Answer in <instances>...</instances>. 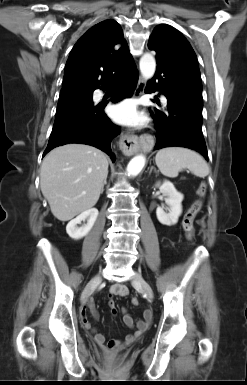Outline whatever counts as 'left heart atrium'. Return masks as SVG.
<instances>
[{"label": "left heart atrium", "mask_w": 247, "mask_h": 385, "mask_svg": "<svg viewBox=\"0 0 247 385\" xmlns=\"http://www.w3.org/2000/svg\"><path fill=\"white\" fill-rule=\"evenodd\" d=\"M110 116L117 122L125 125H139L144 121V116L137 110L133 101H123L110 110Z\"/></svg>", "instance_id": "left-heart-atrium-1"}]
</instances>
